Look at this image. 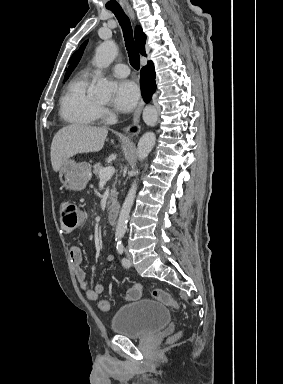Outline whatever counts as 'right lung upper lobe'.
<instances>
[{
  "label": "right lung upper lobe",
  "instance_id": "1",
  "mask_svg": "<svg viewBox=\"0 0 283 384\" xmlns=\"http://www.w3.org/2000/svg\"><path fill=\"white\" fill-rule=\"evenodd\" d=\"M135 40H136V45H137V49L138 51L142 54V55H145V41H146V35L143 33L142 31V28L137 26L136 29H135ZM87 42L83 43L77 56L75 57V59L73 60V62L71 63V65L69 66V69L67 70L66 72V75H65V78H64V81H66L68 79V77L70 76L71 72L73 71V69L76 67V65L78 64L81 56H82V53H83V50L86 46ZM148 65H152V62H148Z\"/></svg>",
  "mask_w": 283,
  "mask_h": 384
}]
</instances>
